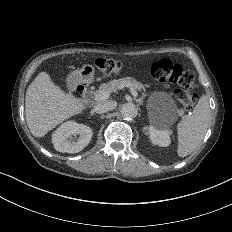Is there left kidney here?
I'll use <instances>...</instances> for the list:
<instances>
[{
  "label": "left kidney",
  "mask_w": 232,
  "mask_h": 232,
  "mask_svg": "<svg viewBox=\"0 0 232 232\" xmlns=\"http://www.w3.org/2000/svg\"><path fill=\"white\" fill-rule=\"evenodd\" d=\"M147 132L150 134L151 142L161 147H166L170 143L169 131L163 126L162 122L155 119L152 120Z\"/></svg>",
  "instance_id": "obj_1"
}]
</instances>
